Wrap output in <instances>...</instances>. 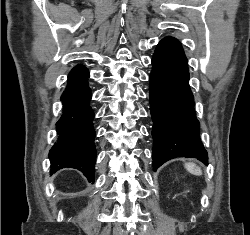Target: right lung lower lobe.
<instances>
[{
  "label": "right lung lower lobe",
  "mask_w": 250,
  "mask_h": 235,
  "mask_svg": "<svg viewBox=\"0 0 250 235\" xmlns=\"http://www.w3.org/2000/svg\"><path fill=\"white\" fill-rule=\"evenodd\" d=\"M88 77L89 72L83 65L75 66L68 75L67 87L60 98L64 109L57 122L59 137L49 152V158L51 173L66 167L75 168L93 181L96 149Z\"/></svg>",
  "instance_id": "98d812e1"
}]
</instances>
